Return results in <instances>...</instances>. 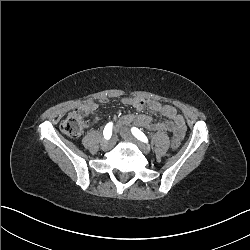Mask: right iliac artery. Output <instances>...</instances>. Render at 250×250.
Wrapping results in <instances>:
<instances>
[{"instance_id": "1", "label": "right iliac artery", "mask_w": 250, "mask_h": 250, "mask_svg": "<svg viewBox=\"0 0 250 250\" xmlns=\"http://www.w3.org/2000/svg\"><path fill=\"white\" fill-rule=\"evenodd\" d=\"M112 125H113L112 122H110L104 128L103 135H104V138L107 139V140L111 138Z\"/></svg>"}]
</instances>
